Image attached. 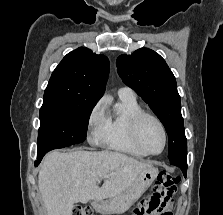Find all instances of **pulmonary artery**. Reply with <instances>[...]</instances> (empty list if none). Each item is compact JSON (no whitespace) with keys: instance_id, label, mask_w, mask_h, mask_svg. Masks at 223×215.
<instances>
[{"instance_id":"e3ab8cb5","label":"pulmonary artery","mask_w":223,"mask_h":215,"mask_svg":"<svg viewBox=\"0 0 223 215\" xmlns=\"http://www.w3.org/2000/svg\"><path fill=\"white\" fill-rule=\"evenodd\" d=\"M118 95L119 96H127V97H134L135 96L134 92L128 87H120L118 89Z\"/></svg>"}]
</instances>
